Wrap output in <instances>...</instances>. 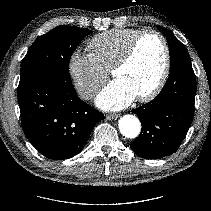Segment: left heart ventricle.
<instances>
[{
  "mask_svg": "<svg viewBox=\"0 0 211 211\" xmlns=\"http://www.w3.org/2000/svg\"><path fill=\"white\" fill-rule=\"evenodd\" d=\"M164 50L161 41L147 35L140 41L132 61L114 75L137 96L149 92L157 83L163 68Z\"/></svg>",
  "mask_w": 211,
  "mask_h": 211,
  "instance_id": "b2bd125f",
  "label": "left heart ventricle"
}]
</instances>
